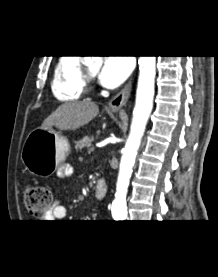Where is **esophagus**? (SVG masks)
Instances as JSON below:
<instances>
[{"mask_svg": "<svg viewBox=\"0 0 218 277\" xmlns=\"http://www.w3.org/2000/svg\"><path fill=\"white\" fill-rule=\"evenodd\" d=\"M132 89V80H130L125 87L118 92L108 103L109 109L113 111L120 110L128 101Z\"/></svg>", "mask_w": 218, "mask_h": 277, "instance_id": "esophagus-1", "label": "esophagus"}]
</instances>
